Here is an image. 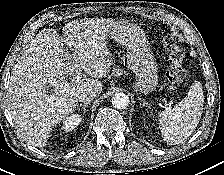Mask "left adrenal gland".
I'll list each match as a JSON object with an SVG mask.
<instances>
[{
	"instance_id": "1",
	"label": "left adrenal gland",
	"mask_w": 224,
	"mask_h": 175,
	"mask_svg": "<svg viewBox=\"0 0 224 175\" xmlns=\"http://www.w3.org/2000/svg\"><path fill=\"white\" fill-rule=\"evenodd\" d=\"M139 100L143 103V105H148V102H146L143 98H139Z\"/></svg>"
}]
</instances>
